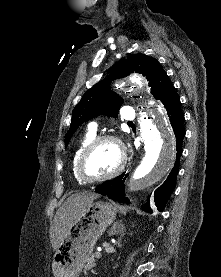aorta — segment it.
<instances>
[{
	"instance_id": "obj_1",
	"label": "aorta",
	"mask_w": 221,
	"mask_h": 277,
	"mask_svg": "<svg viewBox=\"0 0 221 277\" xmlns=\"http://www.w3.org/2000/svg\"><path fill=\"white\" fill-rule=\"evenodd\" d=\"M118 86L125 90L129 89L125 82H121ZM139 125L145 155L133 172L131 178L133 191L143 190L164 177L172 168L175 156L173 131L160 107L153 109L151 113H141Z\"/></svg>"
}]
</instances>
